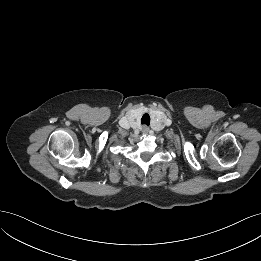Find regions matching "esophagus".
<instances>
[{
    "instance_id": "obj_1",
    "label": "esophagus",
    "mask_w": 261,
    "mask_h": 261,
    "mask_svg": "<svg viewBox=\"0 0 261 261\" xmlns=\"http://www.w3.org/2000/svg\"><path fill=\"white\" fill-rule=\"evenodd\" d=\"M142 133H143L144 135H147V134L149 133V128H148L147 126H143V128H142Z\"/></svg>"
}]
</instances>
